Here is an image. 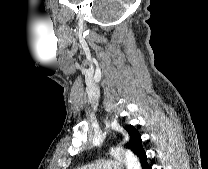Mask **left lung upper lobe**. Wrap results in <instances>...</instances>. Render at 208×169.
<instances>
[{"label":"left lung upper lobe","instance_id":"5c2ea615","mask_svg":"<svg viewBox=\"0 0 208 169\" xmlns=\"http://www.w3.org/2000/svg\"><path fill=\"white\" fill-rule=\"evenodd\" d=\"M124 129L129 134V141L125 145L126 148L132 150L134 154L138 156L142 151H144L140 133L132 125H126Z\"/></svg>","mask_w":208,"mask_h":169}]
</instances>
